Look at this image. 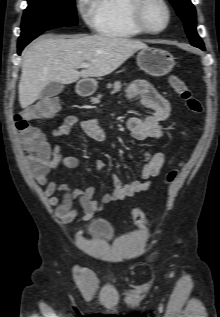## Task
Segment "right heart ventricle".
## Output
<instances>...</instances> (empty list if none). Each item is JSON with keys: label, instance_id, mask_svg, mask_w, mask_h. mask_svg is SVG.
Returning <instances> with one entry per match:
<instances>
[{"label": "right heart ventricle", "instance_id": "1", "mask_svg": "<svg viewBox=\"0 0 220 317\" xmlns=\"http://www.w3.org/2000/svg\"><path fill=\"white\" fill-rule=\"evenodd\" d=\"M135 0H97L96 30L115 38L136 37L143 32L133 23L131 8Z\"/></svg>", "mask_w": 220, "mask_h": 317}]
</instances>
